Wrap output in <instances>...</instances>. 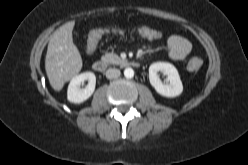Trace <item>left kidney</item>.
<instances>
[{
    "label": "left kidney",
    "instance_id": "left-kidney-1",
    "mask_svg": "<svg viewBox=\"0 0 248 165\" xmlns=\"http://www.w3.org/2000/svg\"><path fill=\"white\" fill-rule=\"evenodd\" d=\"M159 71L167 75V81L169 83H162L158 76ZM149 81L156 92L165 97H176L183 91V85L177 69L174 65L167 62H156L150 65Z\"/></svg>",
    "mask_w": 248,
    "mask_h": 165
}]
</instances>
